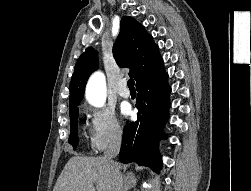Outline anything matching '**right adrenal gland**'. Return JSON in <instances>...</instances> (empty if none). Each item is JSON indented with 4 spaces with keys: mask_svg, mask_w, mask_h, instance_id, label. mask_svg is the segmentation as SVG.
Wrapping results in <instances>:
<instances>
[{
    "mask_svg": "<svg viewBox=\"0 0 251 191\" xmlns=\"http://www.w3.org/2000/svg\"><path fill=\"white\" fill-rule=\"evenodd\" d=\"M124 185H125V191H127V189H131V187H135V185H137V177H136L135 173H133V171H128V173H126Z\"/></svg>",
    "mask_w": 251,
    "mask_h": 191,
    "instance_id": "right-adrenal-gland-1",
    "label": "right adrenal gland"
}]
</instances>
